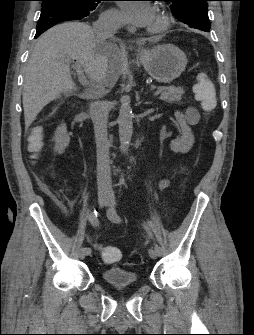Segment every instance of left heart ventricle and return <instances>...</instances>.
Returning <instances> with one entry per match:
<instances>
[{"label":"left heart ventricle","instance_id":"1","mask_svg":"<svg viewBox=\"0 0 254 335\" xmlns=\"http://www.w3.org/2000/svg\"><path fill=\"white\" fill-rule=\"evenodd\" d=\"M157 24V19H156V21H155V23H154V26Z\"/></svg>","mask_w":254,"mask_h":335}]
</instances>
